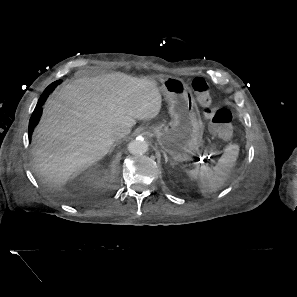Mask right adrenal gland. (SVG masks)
Instances as JSON below:
<instances>
[{"label": "right adrenal gland", "mask_w": 297, "mask_h": 297, "mask_svg": "<svg viewBox=\"0 0 297 297\" xmlns=\"http://www.w3.org/2000/svg\"><path fill=\"white\" fill-rule=\"evenodd\" d=\"M114 147H115V145H113V146L111 147V149L109 150V154H111V152L113 151Z\"/></svg>", "instance_id": "2a0ac1e0"}]
</instances>
